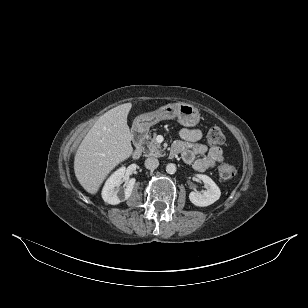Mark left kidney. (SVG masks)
Here are the masks:
<instances>
[{
  "label": "left kidney",
  "instance_id": "left-kidney-1",
  "mask_svg": "<svg viewBox=\"0 0 308 308\" xmlns=\"http://www.w3.org/2000/svg\"><path fill=\"white\" fill-rule=\"evenodd\" d=\"M197 177L205 184L206 190L203 193L191 192L189 194L190 201L199 207H205L216 202L221 195L219 187L216 183L207 175L198 174Z\"/></svg>",
  "mask_w": 308,
  "mask_h": 308
}]
</instances>
